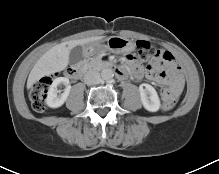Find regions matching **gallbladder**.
Returning <instances> with one entry per match:
<instances>
[{
  "label": "gallbladder",
  "instance_id": "obj_1",
  "mask_svg": "<svg viewBox=\"0 0 219 174\" xmlns=\"http://www.w3.org/2000/svg\"><path fill=\"white\" fill-rule=\"evenodd\" d=\"M83 54H84V49L82 46H76L72 48L69 53V63L71 65L78 64L82 60Z\"/></svg>",
  "mask_w": 219,
  "mask_h": 174
}]
</instances>
